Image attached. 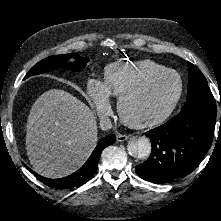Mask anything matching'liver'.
<instances>
[{
    "mask_svg": "<svg viewBox=\"0 0 221 221\" xmlns=\"http://www.w3.org/2000/svg\"><path fill=\"white\" fill-rule=\"evenodd\" d=\"M94 112L61 90L44 92L34 102L26 126V150L33 169L47 178L79 169L97 144Z\"/></svg>",
    "mask_w": 221,
    "mask_h": 221,
    "instance_id": "liver-1",
    "label": "liver"
}]
</instances>
